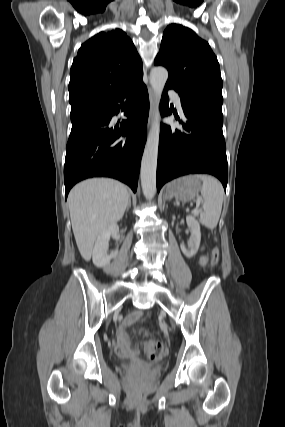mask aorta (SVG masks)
<instances>
[{
    "mask_svg": "<svg viewBox=\"0 0 285 427\" xmlns=\"http://www.w3.org/2000/svg\"><path fill=\"white\" fill-rule=\"evenodd\" d=\"M167 79L168 71L164 67H154L150 72V84L156 97L157 109L143 152L140 174L142 191L148 200L153 199L156 193V169L160 136V112L158 105Z\"/></svg>",
    "mask_w": 285,
    "mask_h": 427,
    "instance_id": "aorta-1",
    "label": "aorta"
}]
</instances>
